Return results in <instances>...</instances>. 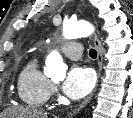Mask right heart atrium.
Instances as JSON below:
<instances>
[{
    "label": "right heart atrium",
    "mask_w": 133,
    "mask_h": 118,
    "mask_svg": "<svg viewBox=\"0 0 133 118\" xmlns=\"http://www.w3.org/2000/svg\"><path fill=\"white\" fill-rule=\"evenodd\" d=\"M56 93H57V88L56 86L52 85L51 94H56Z\"/></svg>",
    "instance_id": "right-heart-atrium-1"
}]
</instances>
